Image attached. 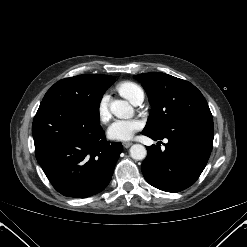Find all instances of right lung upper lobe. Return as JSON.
Here are the masks:
<instances>
[{
    "label": "right lung upper lobe",
    "mask_w": 247,
    "mask_h": 247,
    "mask_svg": "<svg viewBox=\"0 0 247 247\" xmlns=\"http://www.w3.org/2000/svg\"><path fill=\"white\" fill-rule=\"evenodd\" d=\"M96 77L105 84L111 85L112 83L115 82V78L113 76L96 74Z\"/></svg>",
    "instance_id": "1"
}]
</instances>
